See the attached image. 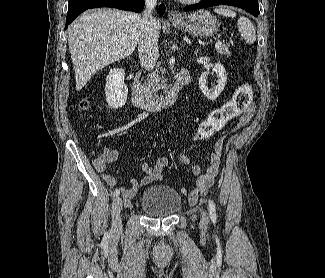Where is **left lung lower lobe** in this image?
I'll use <instances>...</instances> for the list:
<instances>
[{
    "label": "left lung lower lobe",
    "mask_w": 325,
    "mask_h": 278,
    "mask_svg": "<svg viewBox=\"0 0 325 278\" xmlns=\"http://www.w3.org/2000/svg\"><path fill=\"white\" fill-rule=\"evenodd\" d=\"M231 5L236 6L239 8H242L255 17L258 16L259 12V6H258V0H204L198 4H194L188 7L184 8V11H190L200 8H206L209 6H216V5Z\"/></svg>",
    "instance_id": "1"
}]
</instances>
